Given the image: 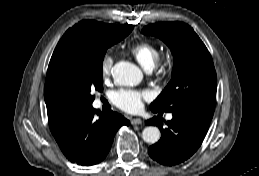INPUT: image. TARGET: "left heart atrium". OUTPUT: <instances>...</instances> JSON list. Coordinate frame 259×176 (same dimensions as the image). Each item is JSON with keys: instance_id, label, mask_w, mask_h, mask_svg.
<instances>
[{"instance_id": "1", "label": "left heart atrium", "mask_w": 259, "mask_h": 176, "mask_svg": "<svg viewBox=\"0 0 259 176\" xmlns=\"http://www.w3.org/2000/svg\"><path fill=\"white\" fill-rule=\"evenodd\" d=\"M148 98L146 91H138L133 89H120L112 93L111 99L115 106L119 109L135 113L142 108L143 99Z\"/></svg>"}]
</instances>
